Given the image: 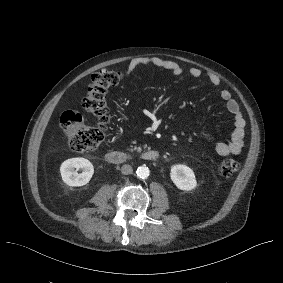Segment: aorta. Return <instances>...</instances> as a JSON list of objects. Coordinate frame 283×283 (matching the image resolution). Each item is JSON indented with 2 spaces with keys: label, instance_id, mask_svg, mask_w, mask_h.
I'll return each mask as SVG.
<instances>
[{
  "label": "aorta",
  "instance_id": "obj_1",
  "mask_svg": "<svg viewBox=\"0 0 283 283\" xmlns=\"http://www.w3.org/2000/svg\"><path fill=\"white\" fill-rule=\"evenodd\" d=\"M136 174L139 178L144 179V178H147L149 176L150 170L146 166H140V167L137 168Z\"/></svg>",
  "mask_w": 283,
  "mask_h": 283
}]
</instances>
